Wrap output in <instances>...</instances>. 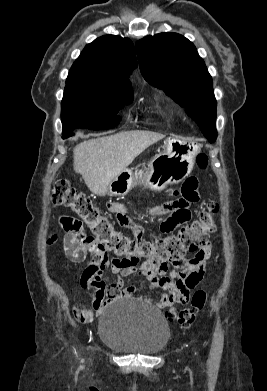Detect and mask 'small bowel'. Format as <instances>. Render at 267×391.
<instances>
[{"label":"small bowel","mask_w":267,"mask_h":391,"mask_svg":"<svg viewBox=\"0 0 267 391\" xmlns=\"http://www.w3.org/2000/svg\"><path fill=\"white\" fill-rule=\"evenodd\" d=\"M176 197L153 211V215L164 216L160 226L163 235H170L180 226L192 220L191 205L199 200L198 183L195 178H188L180 191H172ZM109 212L115 214L120 226L133 230L137 239H142L143 230L128 216L124 205L117 202L107 204ZM59 224L64 230L63 241L66 257L72 262H81L85 259L87 251L83 241L86 234L82 223L70 216L63 215ZM212 244L208 242L193 257L182 259L178 263H165L156 270L141 265L126 266L115 257H108L100 253H92L93 257L85 269L81 284L84 289L91 291V303L88 309H75V318L82 323L90 322L93 315L100 312L108 303L120 297H133L136 294L134 286H126L121 280L107 285L104 274L109 270L113 274L128 276L130 274L142 275L151 287L163 291L159 299L146 296L141 298L154 302L158 307H166L173 302L186 303L192 290L204 282L206 263L210 258Z\"/></svg>","instance_id":"small-bowel-1"}]
</instances>
